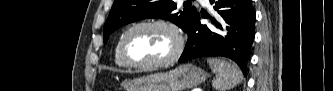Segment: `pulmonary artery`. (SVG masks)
Returning a JSON list of instances; mask_svg holds the SVG:
<instances>
[{"label": "pulmonary artery", "mask_w": 333, "mask_h": 91, "mask_svg": "<svg viewBox=\"0 0 333 91\" xmlns=\"http://www.w3.org/2000/svg\"><path fill=\"white\" fill-rule=\"evenodd\" d=\"M202 2H203V3H207V1H206V0H203Z\"/></svg>", "instance_id": "pulmonary-artery-1"}]
</instances>
